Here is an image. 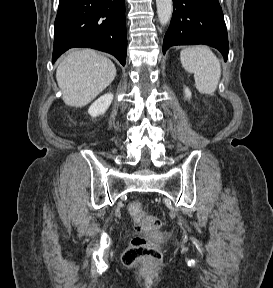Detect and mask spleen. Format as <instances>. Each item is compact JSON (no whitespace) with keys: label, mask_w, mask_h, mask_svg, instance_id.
<instances>
[{"label":"spleen","mask_w":273,"mask_h":288,"mask_svg":"<svg viewBox=\"0 0 273 288\" xmlns=\"http://www.w3.org/2000/svg\"><path fill=\"white\" fill-rule=\"evenodd\" d=\"M180 59L184 69L194 74L198 91L205 95L214 93L221 76V66L216 55L205 46L183 49Z\"/></svg>","instance_id":"3e777b00"}]
</instances>
